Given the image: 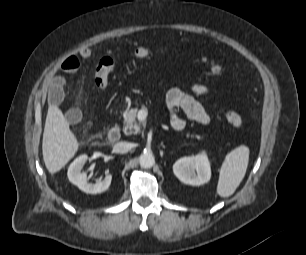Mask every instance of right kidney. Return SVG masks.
<instances>
[{
	"instance_id": "ca27d5eb",
	"label": "right kidney",
	"mask_w": 306,
	"mask_h": 255,
	"mask_svg": "<svg viewBox=\"0 0 306 255\" xmlns=\"http://www.w3.org/2000/svg\"><path fill=\"white\" fill-rule=\"evenodd\" d=\"M88 159L87 155H81L77 157L68 168V179L71 183L76 185L80 190L90 193L98 194L106 191L112 181V175L108 174L102 181H97L96 183H89L87 180V175L82 172V168Z\"/></svg>"
}]
</instances>
